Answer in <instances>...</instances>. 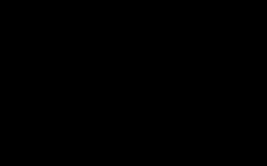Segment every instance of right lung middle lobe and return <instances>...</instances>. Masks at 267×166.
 Listing matches in <instances>:
<instances>
[{
  "label": "right lung middle lobe",
  "mask_w": 267,
  "mask_h": 166,
  "mask_svg": "<svg viewBox=\"0 0 267 166\" xmlns=\"http://www.w3.org/2000/svg\"><path fill=\"white\" fill-rule=\"evenodd\" d=\"M104 24H100V23H89L88 26L90 27H93V26H97L98 29H97V32L99 31L100 32V27L103 26ZM84 26V24H83ZM74 28V27H73ZM79 28V26H78ZM75 29V28H74ZM76 31V29H75ZM52 39H55L54 38V35L51 36ZM60 39V38H59ZM67 39V38H66ZM64 38L60 39V41H63ZM67 44H70V48H68V46H65L63 44V42H59V44H54L56 45L54 49V51L58 54H64L66 57H73V58H76V59H84L86 54L82 53L80 54L76 48L78 47H81V43H80V39H77V38H69V41H67ZM50 46V45H49ZM52 48V44L50 46Z\"/></svg>",
  "instance_id": "obj_1"
}]
</instances>
